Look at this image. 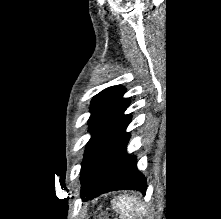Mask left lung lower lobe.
Instances as JSON below:
<instances>
[{
	"label": "left lung lower lobe",
	"instance_id": "left-lung-lower-lobe-1",
	"mask_svg": "<svg viewBox=\"0 0 221 219\" xmlns=\"http://www.w3.org/2000/svg\"><path fill=\"white\" fill-rule=\"evenodd\" d=\"M131 115L123 118L93 150L81 171V193L91 200L112 190H138L146 193L145 177L136 166V158L127 154L130 138L125 132Z\"/></svg>",
	"mask_w": 221,
	"mask_h": 219
}]
</instances>
